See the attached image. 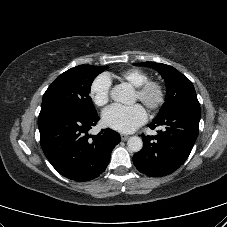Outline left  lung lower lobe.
<instances>
[{
	"mask_svg": "<svg viewBox=\"0 0 227 227\" xmlns=\"http://www.w3.org/2000/svg\"><path fill=\"white\" fill-rule=\"evenodd\" d=\"M200 108H182L155 119L149 127L164 126L157 136L143 137V149L133 156L136 168L152 177L177 170L188 158L199 132Z\"/></svg>",
	"mask_w": 227,
	"mask_h": 227,
	"instance_id": "1",
	"label": "left lung lower lobe"
}]
</instances>
